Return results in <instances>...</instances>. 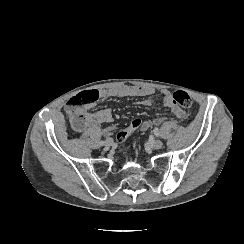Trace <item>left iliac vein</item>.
I'll return each instance as SVG.
<instances>
[{
    "mask_svg": "<svg viewBox=\"0 0 244 244\" xmlns=\"http://www.w3.org/2000/svg\"><path fill=\"white\" fill-rule=\"evenodd\" d=\"M163 143L159 139H155L151 142V146L154 147L155 149H160L162 147Z\"/></svg>",
    "mask_w": 244,
    "mask_h": 244,
    "instance_id": "left-iliac-vein-1",
    "label": "left iliac vein"
}]
</instances>
